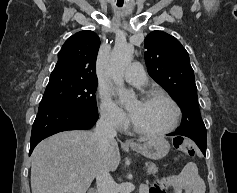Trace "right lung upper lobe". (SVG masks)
I'll return each mask as SVG.
<instances>
[{"mask_svg":"<svg viewBox=\"0 0 237 193\" xmlns=\"http://www.w3.org/2000/svg\"><path fill=\"white\" fill-rule=\"evenodd\" d=\"M100 39L93 31H81L67 39L51 75L97 80L95 66Z\"/></svg>","mask_w":237,"mask_h":193,"instance_id":"right-lung-upper-lobe-1","label":"right lung upper lobe"}]
</instances>
